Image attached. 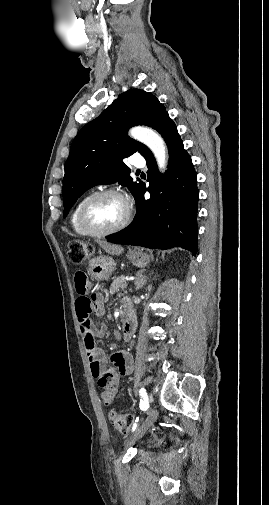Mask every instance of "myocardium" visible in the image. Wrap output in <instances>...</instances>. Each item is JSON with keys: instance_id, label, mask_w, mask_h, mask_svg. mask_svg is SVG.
I'll return each mask as SVG.
<instances>
[{"instance_id": "obj_1", "label": "myocardium", "mask_w": 269, "mask_h": 505, "mask_svg": "<svg viewBox=\"0 0 269 505\" xmlns=\"http://www.w3.org/2000/svg\"><path fill=\"white\" fill-rule=\"evenodd\" d=\"M105 196H118L121 197L126 204V214L124 219L114 227L108 229H101L94 226L88 219V211L91 205L96 202L98 199ZM79 223L82 228L92 236H108L114 233H117L128 226L132 219V207L126 197L119 190L109 188L97 191L90 195L81 205L79 214H78Z\"/></svg>"}]
</instances>
